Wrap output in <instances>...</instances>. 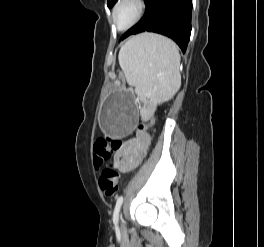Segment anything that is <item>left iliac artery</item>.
<instances>
[{
	"label": "left iliac artery",
	"instance_id": "left-iliac-artery-1",
	"mask_svg": "<svg viewBox=\"0 0 264 247\" xmlns=\"http://www.w3.org/2000/svg\"><path fill=\"white\" fill-rule=\"evenodd\" d=\"M122 202H123V196H119L117 198L115 209H114V213H113V221L115 223H117L118 220H119V212H120V208H121Z\"/></svg>",
	"mask_w": 264,
	"mask_h": 247
}]
</instances>
